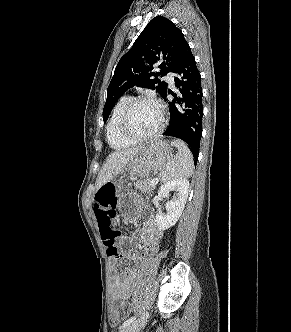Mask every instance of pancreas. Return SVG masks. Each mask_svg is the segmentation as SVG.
I'll use <instances>...</instances> for the list:
<instances>
[{"label": "pancreas", "instance_id": "obj_1", "mask_svg": "<svg viewBox=\"0 0 291 332\" xmlns=\"http://www.w3.org/2000/svg\"><path fill=\"white\" fill-rule=\"evenodd\" d=\"M152 179H144L134 183V187L141 192H150L155 189L151 184Z\"/></svg>", "mask_w": 291, "mask_h": 332}]
</instances>
